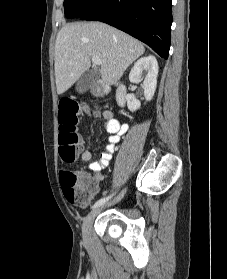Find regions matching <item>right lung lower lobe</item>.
I'll return each instance as SVG.
<instances>
[{
    "instance_id": "98d812e1",
    "label": "right lung lower lobe",
    "mask_w": 227,
    "mask_h": 279,
    "mask_svg": "<svg viewBox=\"0 0 227 279\" xmlns=\"http://www.w3.org/2000/svg\"><path fill=\"white\" fill-rule=\"evenodd\" d=\"M171 7L172 0H95L80 18L112 25L167 59L171 42Z\"/></svg>"
}]
</instances>
